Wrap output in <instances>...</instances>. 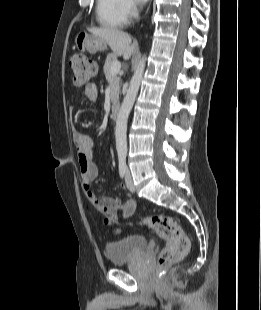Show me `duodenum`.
<instances>
[{"label":"duodenum","instance_id":"1","mask_svg":"<svg viewBox=\"0 0 261 310\" xmlns=\"http://www.w3.org/2000/svg\"><path fill=\"white\" fill-rule=\"evenodd\" d=\"M120 111V106L117 103L112 104L110 109V117L112 120H116Z\"/></svg>","mask_w":261,"mask_h":310}]
</instances>
